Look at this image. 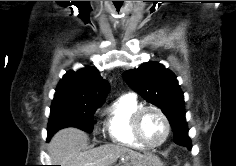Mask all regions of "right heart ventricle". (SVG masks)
Masks as SVG:
<instances>
[{
	"label": "right heart ventricle",
	"instance_id": "e07e8e85",
	"mask_svg": "<svg viewBox=\"0 0 236 166\" xmlns=\"http://www.w3.org/2000/svg\"><path fill=\"white\" fill-rule=\"evenodd\" d=\"M141 107L134 95L126 94L115 99L106 110L105 129L110 141L118 146L131 149H144L135 139L131 119Z\"/></svg>",
	"mask_w": 236,
	"mask_h": 166
}]
</instances>
